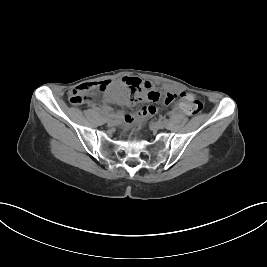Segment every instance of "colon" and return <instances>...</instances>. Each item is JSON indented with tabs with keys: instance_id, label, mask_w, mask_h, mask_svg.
Listing matches in <instances>:
<instances>
[{
	"instance_id": "obj_1",
	"label": "colon",
	"mask_w": 267,
	"mask_h": 267,
	"mask_svg": "<svg viewBox=\"0 0 267 267\" xmlns=\"http://www.w3.org/2000/svg\"><path fill=\"white\" fill-rule=\"evenodd\" d=\"M107 82L99 85V90H104ZM124 88L128 90V102L131 104L147 100L151 103L168 105L174 100L171 93H161L153 90L148 82L137 78H127ZM92 90L89 84L84 83L74 88L69 94V101L74 105L82 104L88 99V93ZM183 110L187 115H197L203 109V102L193 93H186L182 101Z\"/></svg>"
}]
</instances>
